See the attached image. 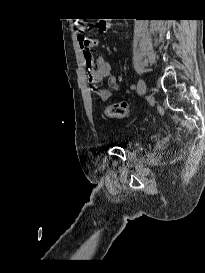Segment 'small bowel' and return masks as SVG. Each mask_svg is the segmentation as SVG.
Instances as JSON below:
<instances>
[{
  "instance_id": "obj_1",
  "label": "small bowel",
  "mask_w": 205,
  "mask_h": 273,
  "mask_svg": "<svg viewBox=\"0 0 205 273\" xmlns=\"http://www.w3.org/2000/svg\"><path fill=\"white\" fill-rule=\"evenodd\" d=\"M78 44L82 51L84 63L89 70V80L93 84H98L107 79L108 85L112 90L119 88L116 78L112 75V66L102 55L94 56L92 49L98 45L96 38L87 36H78ZM112 92L110 89H100L97 96L105 101L110 98Z\"/></svg>"
}]
</instances>
